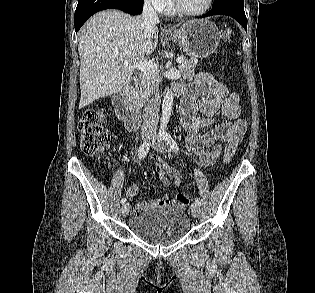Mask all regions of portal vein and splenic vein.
<instances>
[{
	"instance_id": "18ae733b",
	"label": "portal vein and splenic vein",
	"mask_w": 315,
	"mask_h": 293,
	"mask_svg": "<svg viewBox=\"0 0 315 293\" xmlns=\"http://www.w3.org/2000/svg\"><path fill=\"white\" fill-rule=\"evenodd\" d=\"M177 63H182L184 62V58L183 57H178L176 59ZM128 62H124L123 65L124 66H128ZM134 67L136 69H138L139 71H143V72H152V73H156L157 72V64L152 62V61H149V62H137L134 64Z\"/></svg>"
}]
</instances>
